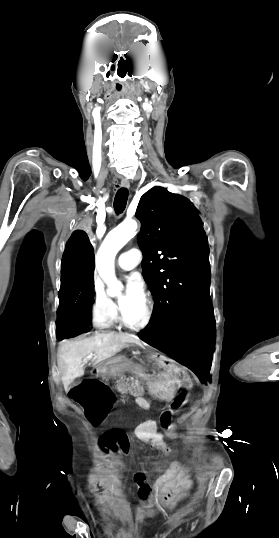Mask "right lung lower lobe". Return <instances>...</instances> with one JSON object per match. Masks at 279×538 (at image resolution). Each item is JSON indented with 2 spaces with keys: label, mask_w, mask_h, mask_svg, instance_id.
I'll list each match as a JSON object with an SVG mask.
<instances>
[{
  "label": "right lung lower lobe",
  "mask_w": 279,
  "mask_h": 538,
  "mask_svg": "<svg viewBox=\"0 0 279 538\" xmlns=\"http://www.w3.org/2000/svg\"><path fill=\"white\" fill-rule=\"evenodd\" d=\"M94 250L84 231L73 232L61 263L57 337L71 338L91 330Z\"/></svg>",
  "instance_id": "obj_1"
}]
</instances>
